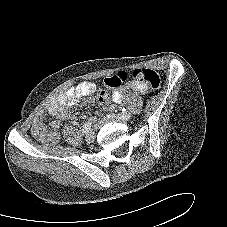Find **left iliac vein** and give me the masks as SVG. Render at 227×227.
I'll use <instances>...</instances> for the list:
<instances>
[{
  "mask_svg": "<svg viewBox=\"0 0 227 227\" xmlns=\"http://www.w3.org/2000/svg\"><path fill=\"white\" fill-rule=\"evenodd\" d=\"M107 120L108 121H118V122H123V121H127L131 118V114L127 113V114H109L107 115Z\"/></svg>",
  "mask_w": 227,
  "mask_h": 227,
  "instance_id": "obj_1",
  "label": "left iliac vein"
}]
</instances>
